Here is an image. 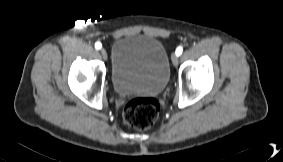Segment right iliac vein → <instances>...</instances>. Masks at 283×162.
<instances>
[{
  "mask_svg": "<svg viewBox=\"0 0 283 162\" xmlns=\"http://www.w3.org/2000/svg\"><path fill=\"white\" fill-rule=\"evenodd\" d=\"M100 53H101V55H102V57H103L104 59H107V52H106V50H105L104 48H102V49L100 50Z\"/></svg>",
  "mask_w": 283,
  "mask_h": 162,
  "instance_id": "63e3f726",
  "label": "right iliac vein"
}]
</instances>
